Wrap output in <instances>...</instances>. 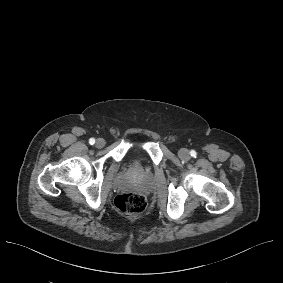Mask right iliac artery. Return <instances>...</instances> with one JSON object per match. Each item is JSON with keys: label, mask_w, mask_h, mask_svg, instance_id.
Returning <instances> with one entry per match:
<instances>
[{"label": "right iliac artery", "mask_w": 283, "mask_h": 283, "mask_svg": "<svg viewBox=\"0 0 283 283\" xmlns=\"http://www.w3.org/2000/svg\"><path fill=\"white\" fill-rule=\"evenodd\" d=\"M89 143H90L91 145H93V144L95 143V139H94V138H90V139H89Z\"/></svg>", "instance_id": "obj_1"}]
</instances>
